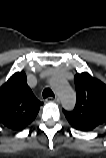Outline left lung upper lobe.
Segmentation results:
<instances>
[{
  "mask_svg": "<svg viewBox=\"0 0 106 158\" xmlns=\"http://www.w3.org/2000/svg\"><path fill=\"white\" fill-rule=\"evenodd\" d=\"M76 105L63 111L70 125L80 131H91L106 122V85L83 72L74 77Z\"/></svg>",
  "mask_w": 106,
  "mask_h": 158,
  "instance_id": "obj_1",
  "label": "left lung upper lobe"
}]
</instances>
